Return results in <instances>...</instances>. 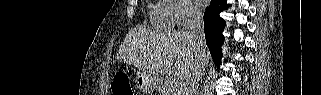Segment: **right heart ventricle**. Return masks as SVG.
Instances as JSON below:
<instances>
[{
  "mask_svg": "<svg viewBox=\"0 0 321 95\" xmlns=\"http://www.w3.org/2000/svg\"><path fill=\"white\" fill-rule=\"evenodd\" d=\"M149 20L151 25L158 30H170L174 25L167 15L162 2H155L150 5Z\"/></svg>",
  "mask_w": 321,
  "mask_h": 95,
  "instance_id": "e07e8e85",
  "label": "right heart ventricle"
}]
</instances>
